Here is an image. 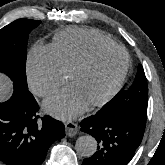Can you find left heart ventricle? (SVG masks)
Instances as JSON below:
<instances>
[{
  "instance_id": "1",
  "label": "left heart ventricle",
  "mask_w": 165,
  "mask_h": 165,
  "mask_svg": "<svg viewBox=\"0 0 165 165\" xmlns=\"http://www.w3.org/2000/svg\"><path fill=\"white\" fill-rule=\"evenodd\" d=\"M123 53L110 50L100 53L84 70L79 72L72 85L90 103L101 98L113 85L124 66Z\"/></svg>"
}]
</instances>
